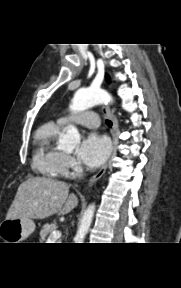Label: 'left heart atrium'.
<instances>
[{"label": "left heart atrium", "mask_w": 181, "mask_h": 288, "mask_svg": "<svg viewBox=\"0 0 181 288\" xmlns=\"http://www.w3.org/2000/svg\"><path fill=\"white\" fill-rule=\"evenodd\" d=\"M111 146L107 137L90 133L78 149L79 160L88 167H98L108 158Z\"/></svg>", "instance_id": "left-heart-atrium-1"}]
</instances>
